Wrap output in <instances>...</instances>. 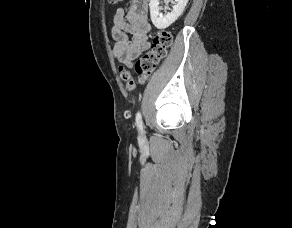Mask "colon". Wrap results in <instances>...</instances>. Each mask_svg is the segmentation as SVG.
Instances as JSON below:
<instances>
[{
    "label": "colon",
    "mask_w": 292,
    "mask_h": 228,
    "mask_svg": "<svg viewBox=\"0 0 292 228\" xmlns=\"http://www.w3.org/2000/svg\"><path fill=\"white\" fill-rule=\"evenodd\" d=\"M109 1L115 4L121 0ZM171 44L172 35L167 30H158L154 33L150 50L139 58L135 64L139 84H144L149 79L158 64L166 57ZM120 75L128 89H134L136 87V82L125 70H121Z\"/></svg>",
    "instance_id": "obj_1"
}]
</instances>
